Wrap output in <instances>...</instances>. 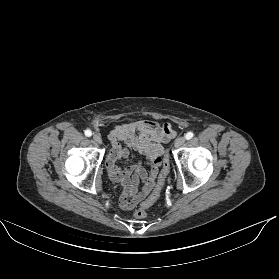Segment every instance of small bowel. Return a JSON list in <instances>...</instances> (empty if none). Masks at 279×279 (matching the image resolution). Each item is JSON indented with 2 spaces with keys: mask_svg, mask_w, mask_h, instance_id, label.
I'll return each instance as SVG.
<instances>
[{
  "mask_svg": "<svg viewBox=\"0 0 279 279\" xmlns=\"http://www.w3.org/2000/svg\"><path fill=\"white\" fill-rule=\"evenodd\" d=\"M169 124H159L152 120H135L116 125L108 134L112 149L106 168L113 181L122 185L120 207L133 209L152 190L162 161L163 143L175 137ZM136 152L145 157L141 163L121 168L119 161H126Z\"/></svg>",
  "mask_w": 279,
  "mask_h": 279,
  "instance_id": "obj_1",
  "label": "small bowel"
}]
</instances>
